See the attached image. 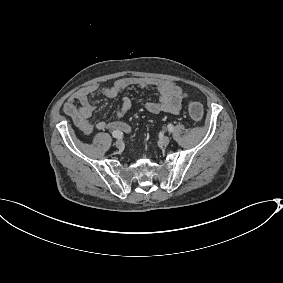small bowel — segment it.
Returning <instances> with one entry per match:
<instances>
[{"instance_id": "c3829d8e", "label": "small bowel", "mask_w": 283, "mask_h": 283, "mask_svg": "<svg viewBox=\"0 0 283 283\" xmlns=\"http://www.w3.org/2000/svg\"><path fill=\"white\" fill-rule=\"evenodd\" d=\"M140 87L143 89H155L158 92V101H146L145 108L153 114L170 113L178 114L181 110L183 101L187 98V93L176 83L167 80L147 78V77H123L116 80L110 86L100 88L97 84H91L73 93L63 106V111L68 115L75 126L84 135H90L95 130H118L130 133V126L122 121L124 115L130 110L132 102L128 97H123L120 108L111 121L91 122L95 106L89 97L99 92L105 97L114 98L130 87Z\"/></svg>"}]
</instances>
